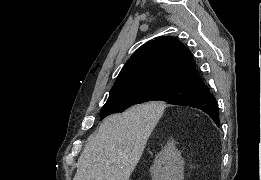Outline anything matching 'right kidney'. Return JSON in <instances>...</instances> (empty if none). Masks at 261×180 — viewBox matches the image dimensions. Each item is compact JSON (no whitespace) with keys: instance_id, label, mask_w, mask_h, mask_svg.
Wrapping results in <instances>:
<instances>
[{"instance_id":"right-kidney-1","label":"right kidney","mask_w":261,"mask_h":180,"mask_svg":"<svg viewBox=\"0 0 261 180\" xmlns=\"http://www.w3.org/2000/svg\"><path fill=\"white\" fill-rule=\"evenodd\" d=\"M184 160L181 156V152L175 150L174 142H169L160 154L156 156L154 166L151 168V174L154 180H184Z\"/></svg>"}]
</instances>
